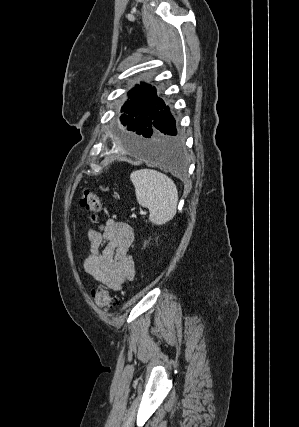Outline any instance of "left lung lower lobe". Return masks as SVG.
Listing matches in <instances>:
<instances>
[{
	"label": "left lung lower lobe",
	"instance_id": "left-lung-lower-lobe-1",
	"mask_svg": "<svg viewBox=\"0 0 299 427\" xmlns=\"http://www.w3.org/2000/svg\"><path fill=\"white\" fill-rule=\"evenodd\" d=\"M149 119L144 121L147 129L141 136L145 139L137 148L139 154L146 160L158 164L175 172H183L186 167L184 158L183 141L176 129L175 119L169 107L158 106L154 118L149 114Z\"/></svg>",
	"mask_w": 299,
	"mask_h": 427
}]
</instances>
